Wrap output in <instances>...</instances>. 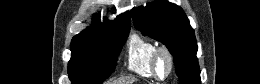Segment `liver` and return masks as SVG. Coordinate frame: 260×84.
<instances>
[{"label":"liver","mask_w":260,"mask_h":84,"mask_svg":"<svg viewBox=\"0 0 260 84\" xmlns=\"http://www.w3.org/2000/svg\"><path fill=\"white\" fill-rule=\"evenodd\" d=\"M118 82H121V81H116V83H115V84H120V83H118Z\"/></svg>","instance_id":"1"}]
</instances>
